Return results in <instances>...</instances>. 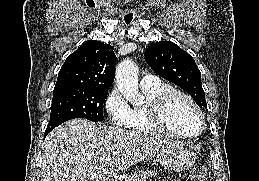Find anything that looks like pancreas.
Wrapping results in <instances>:
<instances>
[{"instance_id":"pancreas-1","label":"pancreas","mask_w":259,"mask_h":181,"mask_svg":"<svg viewBox=\"0 0 259 181\" xmlns=\"http://www.w3.org/2000/svg\"><path fill=\"white\" fill-rule=\"evenodd\" d=\"M156 175V171L153 170H140L138 172H134L126 181H147L148 178H153Z\"/></svg>"}]
</instances>
